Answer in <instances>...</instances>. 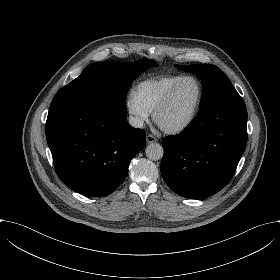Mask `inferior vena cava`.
Returning a JSON list of instances; mask_svg holds the SVG:
<instances>
[{"instance_id":"obj_1","label":"inferior vena cava","mask_w":280,"mask_h":280,"mask_svg":"<svg viewBox=\"0 0 280 280\" xmlns=\"http://www.w3.org/2000/svg\"><path fill=\"white\" fill-rule=\"evenodd\" d=\"M128 122L132 127L135 128L143 127V120L139 117L129 116Z\"/></svg>"}]
</instances>
